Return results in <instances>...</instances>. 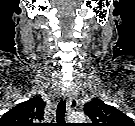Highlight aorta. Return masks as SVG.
Instances as JSON below:
<instances>
[{
	"label": "aorta",
	"instance_id": "762f6f07",
	"mask_svg": "<svg viewBox=\"0 0 135 126\" xmlns=\"http://www.w3.org/2000/svg\"><path fill=\"white\" fill-rule=\"evenodd\" d=\"M71 121H79L80 123L85 121V115L84 114H73L70 117Z\"/></svg>",
	"mask_w": 135,
	"mask_h": 126
}]
</instances>
